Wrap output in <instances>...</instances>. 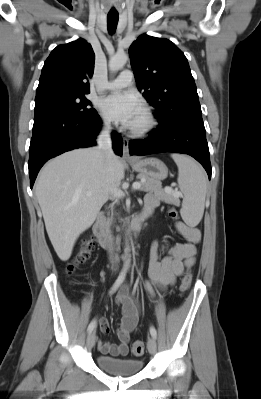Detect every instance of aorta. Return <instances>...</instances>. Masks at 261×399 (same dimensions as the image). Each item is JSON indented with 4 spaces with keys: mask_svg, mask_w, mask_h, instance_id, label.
<instances>
[{
    "mask_svg": "<svg viewBox=\"0 0 261 399\" xmlns=\"http://www.w3.org/2000/svg\"><path fill=\"white\" fill-rule=\"evenodd\" d=\"M129 57L125 53L116 54L109 59V69L113 72L118 71L124 67L127 63ZM129 246L127 245L125 248V255L128 257ZM125 264H129V259L125 261Z\"/></svg>",
    "mask_w": 261,
    "mask_h": 399,
    "instance_id": "aorta-1",
    "label": "aorta"
}]
</instances>
